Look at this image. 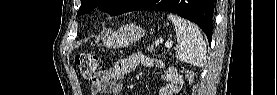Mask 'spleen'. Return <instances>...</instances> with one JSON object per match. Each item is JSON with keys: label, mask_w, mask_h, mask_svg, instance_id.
<instances>
[{"label": "spleen", "mask_w": 277, "mask_h": 95, "mask_svg": "<svg viewBox=\"0 0 277 95\" xmlns=\"http://www.w3.org/2000/svg\"><path fill=\"white\" fill-rule=\"evenodd\" d=\"M176 30L179 44L176 57L182 62L201 67L206 62V44L199 28L178 16L168 15Z\"/></svg>", "instance_id": "spleen-1"}]
</instances>
